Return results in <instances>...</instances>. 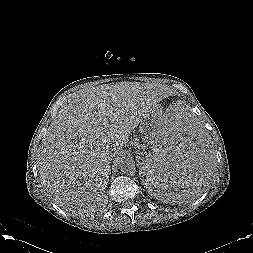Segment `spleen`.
<instances>
[{
    "label": "spleen",
    "mask_w": 253,
    "mask_h": 253,
    "mask_svg": "<svg viewBox=\"0 0 253 253\" xmlns=\"http://www.w3.org/2000/svg\"><path fill=\"white\" fill-rule=\"evenodd\" d=\"M213 175L211 139L196 114L183 102L159 120L139 164L142 185L153 196L180 202L200 193Z\"/></svg>",
    "instance_id": "obj_1"
}]
</instances>
